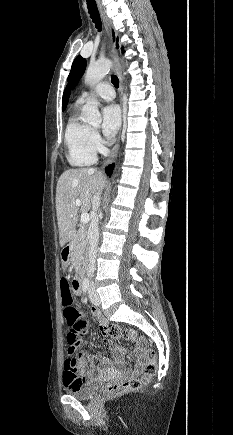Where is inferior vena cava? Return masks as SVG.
Masks as SVG:
<instances>
[{
  "mask_svg": "<svg viewBox=\"0 0 233 435\" xmlns=\"http://www.w3.org/2000/svg\"><path fill=\"white\" fill-rule=\"evenodd\" d=\"M100 192H96L92 200V212L95 213L100 206ZM87 238L89 240V266L87 270L88 277H92L95 270L96 249L99 241L98 222L93 220L88 229Z\"/></svg>",
  "mask_w": 233,
  "mask_h": 435,
  "instance_id": "inferior-vena-cava-1",
  "label": "inferior vena cava"
}]
</instances>
